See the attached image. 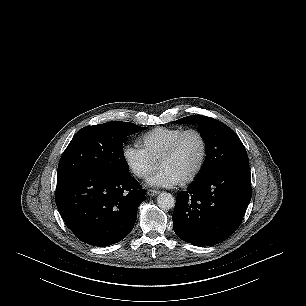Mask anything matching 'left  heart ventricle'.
<instances>
[{"instance_id": "left-heart-ventricle-1", "label": "left heart ventricle", "mask_w": 306, "mask_h": 306, "mask_svg": "<svg viewBox=\"0 0 306 306\" xmlns=\"http://www.w3.org/2000/svg\"><path fill=\"white\" fill-rule=\"evenodd\" d=\"M201 154V141L197 135L191 133L184 137L176 153L162 162L160 167L169 169L182 180L197 167Z\"/></svg>"}]
</instances>
